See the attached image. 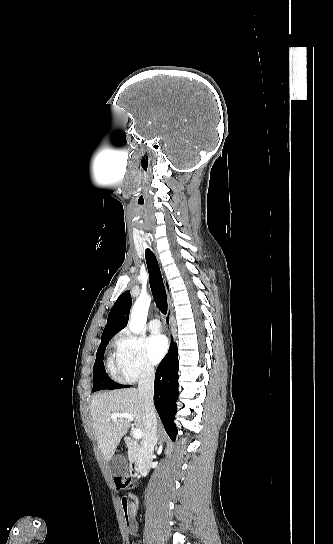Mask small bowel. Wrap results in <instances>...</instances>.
Wrapping results in <instances>:
<instances>
[{"instance_id":"obj_1","label":"small bowel","mask_w":333,"mask_h":544,"mask_svg":"<svg viewBox=\"0 0 333 544\" xmlns=\"http://www.w3.org/2000/svg\"><path fill=\"white\" fill-rule=\"evenodd\" d=\"M122 508L126 518V526L130 534H136L138 525L136 522V504L128 499L121 500Z\"/></svg>"}]
</instances>
